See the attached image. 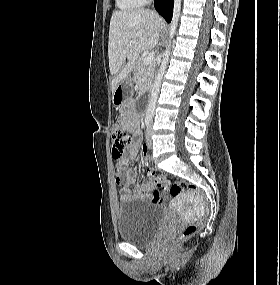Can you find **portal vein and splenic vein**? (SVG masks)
Wrapping results in <instances>:
<instances>
[{
    "mask_svg": "<svg viewBox=\"0 0 280 285\" xmlns=\"http://www.w3.org/2000/svg\"><path fill=\"white\" fill-rule=\"evenodd\" d=\"M128 47H132V43H129L128 44ZM154 53L153 52H150V53H148L144 58H143V62L145 63V64H149V63H152V61L154 60Z\"/></svg>",
    "mask_w": 280,
    "mask_h": 285,
    "instance_id": "18ae733b",
    "label": "portal vein and splenic vein"
}]
</instances>
